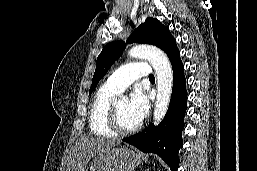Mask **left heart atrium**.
<instances>
[{
	"instance_id": "left-heart-atrium-1",
	"label": "left heart atrium",
	"mask_w": 257,
	"mask_h": 171,
	"mask_svg": "<svg viewBox=\"0 0 257 171\" xmlns=\"http://www.w3.org/2000/svg\"><path fill=\"white\" fill-rule=\"evenodd\" d=\"M129 110L133 117L141 122L148 114L149 100L146 92L141 88H136L129 101Z\"/></svg>"
}]
</instances>
